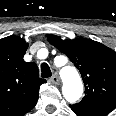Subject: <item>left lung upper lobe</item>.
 <instances>
[{
    "label": "left lung upper lobe",
    "mask_w": 116,
    "mask_h": 116,
    "mask_svg": "<svg viewBox=\"0 0 116 116\" xmlns=\"http://www.w3.org/2000/svg\"><path fill=\"white\" fill-rule=\"evenodd\" d=\"M47 38L81 73L85 96L73 105L113 111L116 108V52L91 39L62 40L52 34Z\"/></svg>",
    "instance_id": "1"
}]
</instances>
